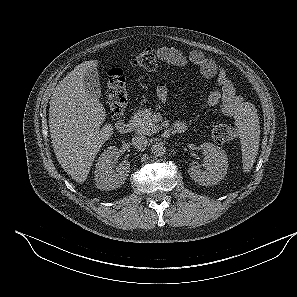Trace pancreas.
Returning <instances> with one entry per match:
<instances>
[{
	"label": "pancreas",
	"mask_w": 297,
	"mask_h": 297,
	"mask_svg": "<svg viewBox=\"0 0 297 297\" xmlns=\"http://www.w3.org/2000/svg\"><path fill=\"white\" fill-rule=\"evenodd\" d=\"M134 130L137 134L152 135L159 131V127L152 119L150 109L138 111L131 119Z\"/></svg>",
	"instance_id": "1"
}]
</instances>
